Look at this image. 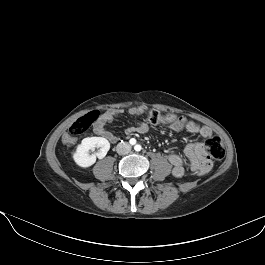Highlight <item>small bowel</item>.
I'll use <instances>...</instances> for the list:
<instances>
[{
  "instance_id": "obj_1",
  "label": "small bowel",
  "mask_w": 265,
  "mask_h": 265,
  "mask_svg": "<svg viewBox=\"0 0 265 265\" xmlns=\"http://www.w3.org/2000/svg\"><path fill=\"white\" fill-rule=\"evenodd\" d=\"M144 112L145 107L143 106L131 107L127 111L123 109H110L95 123L94 131L98 136H101L110 142L117 141V137L108 129V126L114 120L127 113L135 125L127 127L124 130L125 134L131 135L135 132H145L148 128L147 124L137 119ZM157 125L167 126L174 131L186 129L189 132L198 134L202 138L213 136V130L209 126L201 125L194 120H187L183 116H181V120L177 123H160ZM184 155L185 158L177 153H171L168 156V160L173 168L172 173L174 177L180 178L184 175L186 162L189 164L191 170L198 176L206 175L211 170L212 161L202 142L195 141L188 144L184 149Z\"/></svg>"
}]
</instances>
